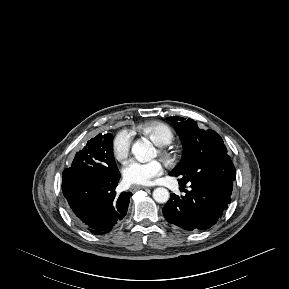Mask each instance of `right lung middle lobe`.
Returning <instances> with one entry per match:
<instances>
[{
	"instance_id": "right-lung-middle-lobe-1",
	"label": "right lung middle lobe",
	"mask_w": 289,
	"mask_h": 289,
	"mask_svg": "<svg viewBox=\"0 0 289 289\" xmlns=\"http://www.w3.org/2000/svg\"><path fill=\"white\" fill-rule=\"evenodd\" d=\"M112 134H98L76 153L72 165L65 171H74L85 176H104L117 169L113 155Z\"/></svg>"
}]
</instances>
